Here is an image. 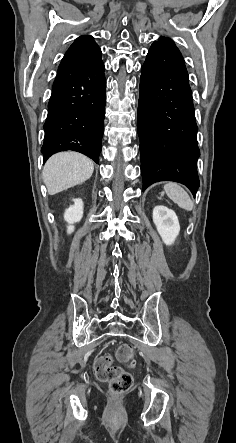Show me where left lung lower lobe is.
I'll list each match as a JSON object with an SVG mask.
<instances>
[{"label": "left lung lower lobe", "instance_id": "1", "mask_svg": "<svg viewBox=\"0 0 236 443\" xmlns=\"http://www.w3.org/2000/svg\"><path fill=\"white\" fill-rule=\"evenodd\" d=\"M137 129L143 190L158 181L199 187L197 124L184 59L179 50L155 45L141 68Z\"/></svg>", "mask_w": 236, "mask_h": 443}]
</instances>
